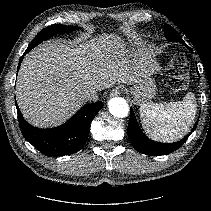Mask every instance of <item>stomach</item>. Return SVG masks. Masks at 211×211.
<instances>
[{"label": "stomach", "mask_w": 211, "mask_h": 211, "mask_svg": "<svg viewBox=\"0 0 211 211\" xmlns=\"http://www.w3.org/2000/svg\"><path fill=\"white\" fill-rule=\"evenodd\" d=\"M157 62L151 57L147 67L135 80L130 88V94L135 104L144 103L154 97L156 94V84L154 74L157 70Z\"/></svg>", "instance_id": "1"}]
</instances>
